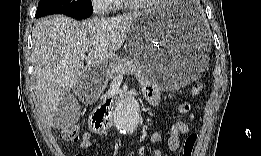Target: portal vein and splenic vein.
I'll list each match as a JSON object with an SVG mask.
<instances>
[{"label":"portal vein and splenic vein","mask_w":261,"mask_h":156,"mask_svg":"<svg viewBox=\"0 0 261 156\" xmlns=\"http://www.w3.org/2000/svg\"><path fill=\"white\" fill-rule=\"evenodd\" d=\"M84 58H85V55H84V54H81V55H80V59L83 60ZM120 75H121V74H120Z\"/></svg>","instance_id":"portal-vein-and-splenic-vein-1"}]
</instances>
